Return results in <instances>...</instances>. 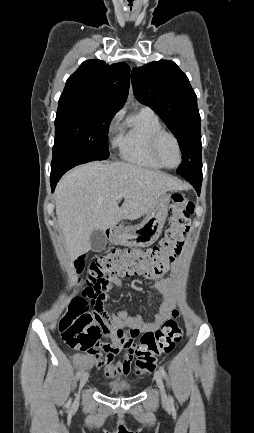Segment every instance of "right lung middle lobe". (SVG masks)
Masks as SVG:
<instances>
[{
	"mask_svg": "<svg viewBox=\"0 0 254 433\" xmlns=\"http://www.w3.org/2000/svg\"><path fill=\"white\" fill-rule=\"evenodd\" d=\"M114 115L96 105L58 106L53 154L71 150L90 161L107 159L108 127Z\"/></svg>",
	"mask_w": 254,
	"mask_h": 433,
	"instance_id": "obj_1",
	"label": "right lung middle lobe"
}]
</instances>
